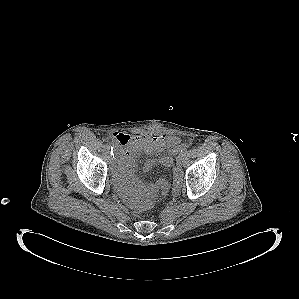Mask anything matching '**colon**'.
I'll list each match as a JSON object with an SVG mask.
<instances>
[{
  "label": "colon",
  "instance_id": "colon-1",
  "mask_svg": "<svg viewBox=\"0 0 299 299\" xmlns=\"http://www.w3.org/2000/svg\"><path fill=\"white\" fill-rule=\"evenodd\" d=\"M189 144L190 141H185L184 143L185 146H188ZM182 186L183 173L178 163H176V166L173 168V193L177 195L181 191ZM135 213H137V211H135Z\"/></svg>",
  "mask_w": 299,
  "mask_h": 299
}]
</instances>
